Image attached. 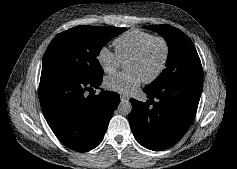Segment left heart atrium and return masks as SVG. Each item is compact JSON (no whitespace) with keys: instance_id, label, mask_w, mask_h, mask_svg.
<instances>
[{"instance_id":"left-heart-atrium-1","label":"left heart atrium","mask_w":237,"mask_h":169,"mask_svg":"<svg viewBox=\"0 0 237 169\" xmlns=\"http://www.w3.org/2000/svg\"><path fill=\"white\" fill-rule=\"evenodd\" d=\"M143 81L135 71H126L108 76L105 79V85L109 90L120 93H131Z\"/></svg>"}]
</instances>
